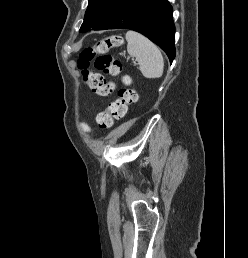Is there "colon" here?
Wrapping results in <instances>:
<instances>
[{
  "label": "colon",
  "instance_id": "5ec220e1",
  "mask_svg": "<svg viewBox=\"0 0 248 258\" xmlns=\"http://www.w3.org/2000/svg\"><path fill=\"white\" fill-rule=\"evenodd\" d=\"M122 39L118 35H112L96 41L92 46L85 47L78 59V69L81 71L84 81L89 89L97 95L106 96L112 91L104 75L118 76L121 73L120 60L108 53L111 47L118 46ZM94 67L101 73L89 72V66ZM122 86L118 90V98L112 101L106 110L97 115L96 121L100 129L107 130L112 127L114 120L123 119L128 106L137 100L136 92L130 87L131 79L123 75Z\"/></svg>",
  "mask_w": 248,
  "mask_h": 258
}]
</instances>
